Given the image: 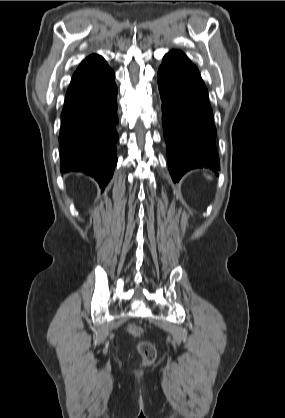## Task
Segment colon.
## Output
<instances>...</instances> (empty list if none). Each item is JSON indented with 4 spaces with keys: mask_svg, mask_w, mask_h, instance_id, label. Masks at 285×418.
Returning a JSON list of instances; mask_svg holds the SVG:
<instances>
[{
    "mask_svg": "<svg viewBox=\"0 0 285 418\" xmlns=\"http://www.w3.org/2000/svg\"><path fill=\"white\" fill-rule=\"evenodd\" d=\"M127 332L134 337H140L143 333L142 328L135 325L129 326ZM137 349L141 357L140 362L142 366H149L155 361L157 351L154 344L149 341H140L137 344Z\"/></svg>",
    "mask_w": 285,
    "mask_h": 418,
    "instance_id": "1",
    "label": "colon"
}]
</instances>
